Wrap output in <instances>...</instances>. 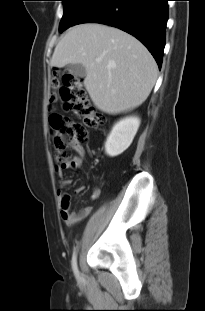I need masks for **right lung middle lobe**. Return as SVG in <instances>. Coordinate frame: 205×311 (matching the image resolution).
<instances>
[{"mask_svg": "<svg viewBox=\"0 0 205 311\" xmlns=\"http://www.w3.org/2000/svg\"><path fill=\"white\" fill-rule=\"evenodd\" d=\"M64 13L60 22L59 32H63L79 18L92 0H61Z\"/></svg>", "mask_w": 205, "mask_h": 311, "instance_id": "right-lung-middle-lobe-1", "label": "right lung middle lobe"}]
</instances>
